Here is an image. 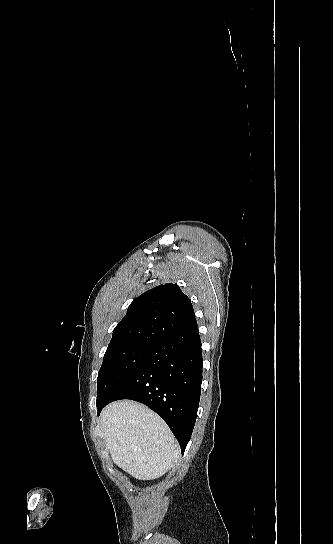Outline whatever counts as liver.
<instances>
[{
	"mask_svg": "<svg viewBox=\"0 0 333 544\" xmlns=\"http://www.w3.org/2000/svg\"><path fill=\"white\" fill-rule=\"evenodd\" d=\"M100 423L112 460L136 479H156L180 458L179 445L166 423L142 404L114 402L103 410Z\"/></svg>",
	"mask_w": 333,
	"mask_h": 544,
	"instance_id": "1",
	"label": "liver"
}]
</instances>
